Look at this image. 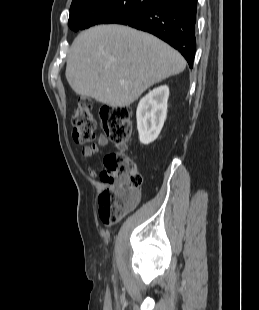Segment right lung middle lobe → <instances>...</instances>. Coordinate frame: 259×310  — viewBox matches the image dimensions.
<instances>
[{
    "mask_svg": "<svg viewBox=\"0 0 259 310\" xmlns=\"http://www.w3.org/2000/svg\"><path fill=\"white\" fill-rule=\"evenodd\" d=\"M153 2L154 0H101L70 10L68 25L77 31L97 24L116 23Z\"/></svg>",
    "mask_w": 259,
    "mask_h": 310,
    "instance_id": "1",
    "label": "right lung middle lobe"
}]
</instances>
